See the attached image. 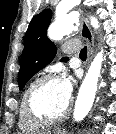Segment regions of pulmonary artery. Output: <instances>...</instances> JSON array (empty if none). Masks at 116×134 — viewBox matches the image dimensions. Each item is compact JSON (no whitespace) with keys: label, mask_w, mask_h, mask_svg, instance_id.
I'll return each mask as SVG.
<instances>
[{"label":"pulmonary artery","mask_w":116,"mask_h":134,"mask_svg":"<svg viewBox=\"0 0 116 134\" xmlns=\"http://www.w3.org/2000/svg\"><path fill=\"white\" fill-rule=\"evenodd\" d=\"M81 49V42L79 40H70L63 45L62 50L67 54L79 52Z\"/></svg>","instance_id":"obj_1"}]
</instances>
